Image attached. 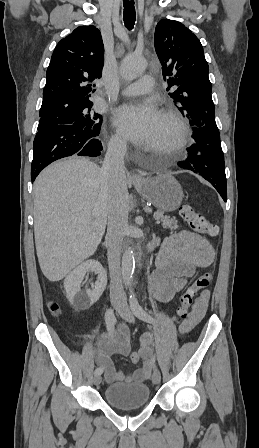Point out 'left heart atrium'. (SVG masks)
Instances as JSON below:
<instances>
[{
	"label": "left heart atrium",
	"instance_id": "1",
	"mask_svg": "<svg viewBox=\"0 0 259 448\" xmlns=\"http://www.w3.org/2000/svg\"><path fill=\"white\" fill-rule=\"evenodd\" d=\"M159 121V110L150 102L125 104L113 116V123L119 132L133 142L142 141Z\"/></svg>",
	"mask_w": 259,
	"mask_h": 448
}]
</instances>
